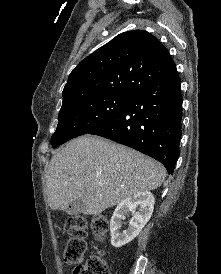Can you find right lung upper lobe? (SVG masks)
<instances>
[{
    "instance_id": "right-lung-upper-lobe-1",
    "label": "right lung upper lobe",
    "mask_w": 221,
    "mask_h": 274,
    "mask_svg": "<svg viewBox=\"0 0 221 274\" xmlns=\"http://www.w3.org/2000/svg\"><path fill=\"white\" fill-rule=\"evenodd\" d=\"M176 67L164 45L143 30L121 33L83 59L64 87L63 103L102 95L134 96Z\"/></svg>"
}]
</instances>
